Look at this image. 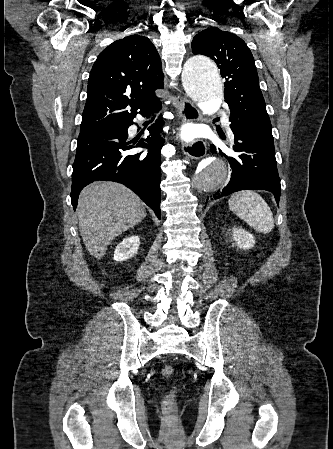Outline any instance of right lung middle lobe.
Wrapping results in <instances>:
<instances>
[{
    "mask_svg": "<svg viewBox=\"0 0 333 449\" xmlns=\"http://www.w3.org/2000/svg\"><path fill=\"white\" fill-rule=\"evenodd\" d=\"M112 126V125H111ZM106 127H108V126H106ZM102 128H104V127H102ZM97 129H100V128H96V129H91V130H86V131H92V130H97ZM80 131H82L83 132V130H80Z\"/></svg>",
    "mask_w": 333,
    "mask_h": 449,
    "instance_id": "dd1d6c3e",
    "label": "right lung middle lobe"
}]
</instances>
